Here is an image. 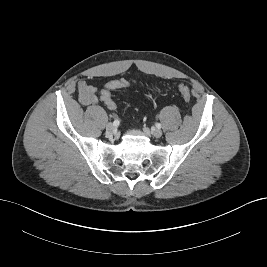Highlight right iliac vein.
Returning <instances> with one entry per match:
<instances>
[{
    "label": "right iliac vein",
    "mask_w": 267,
    "mask_h": 267,
    "mask_svg": "<svg viewBox=\"0 0 267 267\" xmlns=\"http://www.w3.org/2000/svg\"><path fill=\"white\" fill-rule=\"evenodd\" d=\"M115 131V126L112 123H108L106 126L107 134H113Z\"/></svg>",
    "instance_id": "right-iliac-vein-1"
}]
</instances>
